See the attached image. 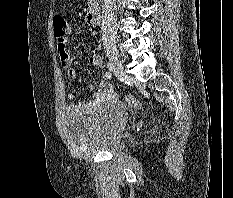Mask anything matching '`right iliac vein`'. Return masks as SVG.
<instances>
[{"label":"right iliac vein","mask_w":233,"mask_h":198,"mask_svg":"<svg viewBox=\"0 0 233 198\" xmlns=\"http://www.w3.org/2000/svg\"><path fill=\"white\" fill-rule=\"evenodd\" d=\"M108 56H109L110 68L115 73V75L120 76V77H125L126 73L124 71V68H123V65H122V62L120 60L118 53L113 51V52H110Z\"/></svg>","instance_id":"right-iliac-vein-1"}]
</instances>
